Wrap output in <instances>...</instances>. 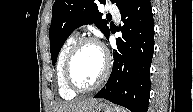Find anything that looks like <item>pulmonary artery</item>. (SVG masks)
Masks as SVG:
<instances>
[{"instance_id": "obj_1", "label": "pulmonary artery", "mask_w": 193, "mask_h": 112, "mask_svg": "<svg viewBox=\"0 0 193 112\" xmlns=\"http://www.w3.org/2000/svg\"><path fill=\"white\" fill-rule=\"evenodd\" d=\"M109 12L112 14V16L116 19L119 20L120 14L118 9L115 6H109Z\"/></svg>"}]
</instances>
